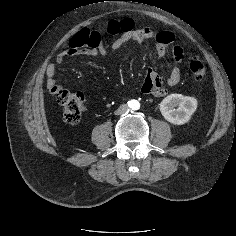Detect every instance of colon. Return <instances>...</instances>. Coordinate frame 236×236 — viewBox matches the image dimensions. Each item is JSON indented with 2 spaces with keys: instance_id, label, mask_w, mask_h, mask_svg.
Segmentation results:
<instances>
[{
  "instance_id": "obj_1",
  "label": "colon",
  "mask_w": 236,
  "mask_h": 236,
  "mask_svg": "<svg viewBox=\"0 0 236 236\" xmlns=\"http://www.w3.org/2000/svg\"><path fill=\"white\" fill-rule=\"evenodd\" d=\"M189 70L197 80H201L206 74V67L199 60H191ZM56 99L61 108L63 119L70 124L78 123L87 106L84 95L61 88L56 94Z\"/></svg>"
}]
</instances>
